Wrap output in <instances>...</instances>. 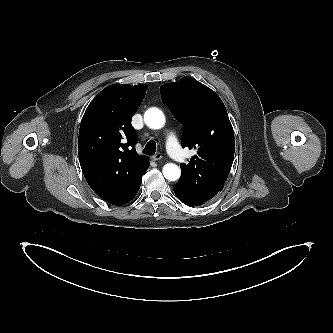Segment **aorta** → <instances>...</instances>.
I'll return each mask as SVG.
<instances>
[{
	"mask_svg": "<svg viewBox=\"0 0 333 333\" xmlns=\"http://www.w3.org/2000/svg\"><path fill=\"white\" fill-rule=\"evenodd\" d=\"M145 124L151 129H160L165 124L163 112L157 108H150L144 114ZM180 169L177 165L169 163L163 167V175L170 181H175L180 177Z\"/></svg>",
	"mask_w": 333,
	"mask_h": 333,
	"instance_id": "762f6f07",
	"label": "aorta"
}]
</instances>
